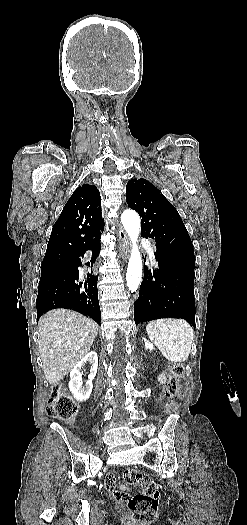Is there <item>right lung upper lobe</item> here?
Here are the masks:
<instances>
[{"label": "right lung upper lobe", "instance_id": "right-lung-upper-lobe-1", "mask_svg": "<svg viewBox=\"0 0 247 525\" xmlns=\"http://www.w3.org/2000/svg\"><path fill=\"white\" fill-rule=\"evenodd\" d=\"M101 214L99 190L89 184L79 186L53 226L42 266L53 257H68L99 238L104 230Z\"/></svg>", "mask_w": 247, "mask_h": 525}]
</instances>
